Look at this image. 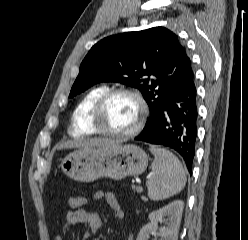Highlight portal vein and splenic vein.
I'll list each match as a JSON object with an SVG mask.
<instances>
[{
	"label": "portal vein and splenic vein",
	"mask_w": 248,
	"mask_h": 240,
	"mask_svg": "<svg viewBox=\"0 0 248 240\" xmlns=\"http://www.w3.org/2000/svg\"><path fill=\"white\" fill-rule=\"evenodd\" d=\"M137 189L142 191V187L141 186H138Z\"/></svg>",
	"instance_id": "portal-vein-and-splenic-vein-1"
}]
</instances>
